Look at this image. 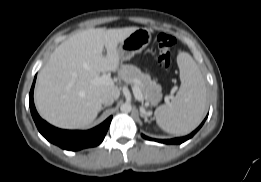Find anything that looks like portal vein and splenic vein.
<instances>
[{"label": "portal vein and splenic vein", "mask_w": 261, "mask_h": 182, "mask_svg": "<svg viewBox=\"0 0 261 182\" xmlns=\"http://www.w3.org/2000/svg\"><path fill=\"white\" fill-rule=\"evenodd\" d=\"M93 83L94 84H97V85H113V80L112 78L110 77V75L104 73L101 77H97L93 80ZM132 91L134 93V96L136 97L137 100L143 102L144 101V97H143V94H142V91L140 89V87L135 84L133 87H132ZM148 105V104H146Z\"/></svg>", "instance_id": "1"}]
</instances>
